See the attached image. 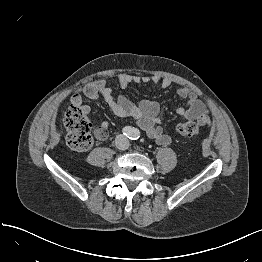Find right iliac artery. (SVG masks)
Returning a JSON list of instances; mask_svg holds the SVG:
<instances>
[{"label":"right iliac artery","mask_w":262,"mask_h":262,"mask_svg":"<svg viewBox=\"0 0 262 262\" xmlns=\"http://www.w3.org/2000/svg\"><path fill=\"white\" fill-rule=\"evenodd\" d=\"M122 132L127 137H131L132 133H133V129L130 126H126V127L123 128Z\"/></svg>","instance_id":"obj_1"}]
</instances>
